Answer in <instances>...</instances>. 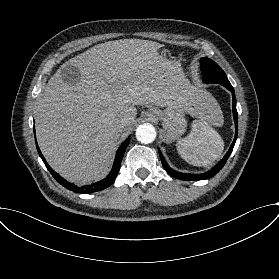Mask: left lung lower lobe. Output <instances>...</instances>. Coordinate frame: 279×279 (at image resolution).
Instances as JSON below:
<instances>
[{
    "mask_svg": "<svg viewBox=\"0 0 279 279\" xmlns=\"http://www.w3.org/2000/svg\"><path fill=\"white\" fill-rule=\"evenodd\" d=\"M226 88L229 91H231L232 96H233V117H234V122H235V137H234L233 143L231 144L228 152L223 157V159L220 160L219 163L215 167H213L211 170H209L208 172H205L202 174H187V173L177 172V171L173 170L172 168H170L168 166V164L166 163L162 153L159 150V155H160L162 165H163L164 169L171 176H173L177 179L185 180V181L209 179V178L213 177L214 175H216L225 165L227 159L229 158V156L233 150V147H234L236 139H237V134H238V114H237V110H236V98H235L234 89H233L232 85L228 86Z\"/></svg>",
    "mask_w": 279,
    "mask_h": 279,
    "instance_id": "1",
    "label": "left lung lower lobe"
}]
</instances>
